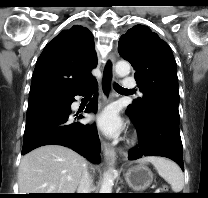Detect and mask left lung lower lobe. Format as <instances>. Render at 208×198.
<instances>
[{"instance_id": "left-lung-lower-lobe-1", "label": "left lung lower lobe", "mask_w": 208, "mask_h": 198, "mask_svg": "<svg viewBox=\"0 0 208 198\" xmlns=\"http://www.w3.org/2000/svg\"><path fill=\"white\" fill-rule=\"evenodd\" d=\"M138 145L130 150L129 160L142 156H162L175 161L184 170L179 121L162 111H151L140 123L133 122Z\"/></svg>"}]
</instances>
